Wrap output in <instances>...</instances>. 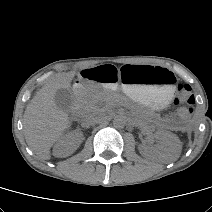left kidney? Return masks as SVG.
<instances>
[{"label":"left kidney","instance_id":"5707ae66","mask_svg":"<svg viewBox=\"0 0 212 212\" xmlns=\"http://www.w3.org/2000/svg\"><path fill=\"white\" fill-rule=\"evenodd\" d=\"M154 137L161 141L159 148L163 160L166 162H172L179 157L181 152V142L175 134L167 130H157L154 133ZM154 151L155 150L151 147L139 145V152L144 157H149Z\"/></svg>","mask_w":212,"mask_h":212}]
</instances>
